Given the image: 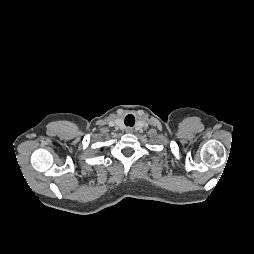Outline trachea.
I'll list each match as a JSON object with an SVG mask.
<instances>
[{
    "label": "trachea",
    "instance_id": "obj_1",
    "mask_svg": "<svg viewBox=\"0 0 254 254\" xmlns=\"http://www.w3.org/2000/svg\"><path fill=\"white\" fill-rule=\"evenodd\" d=\"M135 123V119L133 117V115H128L126 118H125V125L126 126H130L132 127Z\"/></svg>",
    "mask_w": 254,
    "mask_h": 254
}]
</instances>
